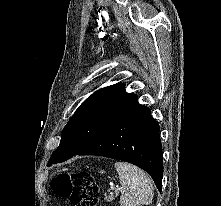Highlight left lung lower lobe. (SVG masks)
I'll return each instance as SVG.
<instances>
[{"mask_svg": "<svg viewBox=\"0 0 221 206\" xmlns=\"http://www.w3.org/2000/svg\"><path fill=\"white\" fill-rule=\"evenodd\" d=\"M159 130L151 110L135 100L75 155H97L132 163L145 170L161 192L163 157Z\"/></svg>", "mask_w": 221, "mask_h": 206, "instance_id": "1", "label": "left lung lower lobe"}]
</instances>
